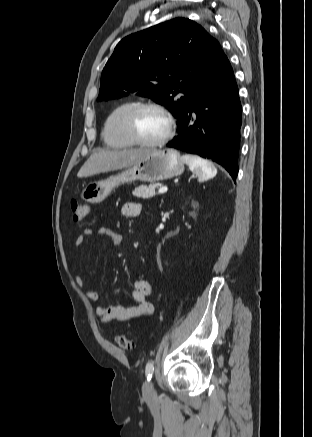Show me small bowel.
Masks as SVG:
<instances>
[{
	"mask_svg": "<svg viewBox=\"0 0 312 437\" xmlns=\"http://www.w3.org/2000/svg\"><path fill=\"white\" fill-rule=\"evenodd\" d=\"M121 212L125 217H136L141 212V205L138 202H127L122 206ZM92 230L86 229L82 234H80L76 241V247H81L85 242V237L90 236ZM99 236L108 237L111 243L115 247H119L123 243V237L121 234L115 232L108 227H100L97 231ZM76 283L79 286L83 285V280L81 277H76ZM152 295V290L150 284L143 279H139L134 283V290L132 292V297L135 302L134 305H116V306H106L98 303L95 307V313L103 323H108L111 321H127L130 319L138 318L141 316H147L153 313L154 307L148 301V298ZM87 297L92 302H99L100 294L94 290L87 291Z\"/></svg>",
	"mask_w": 312,
	"mask_h": 437,
	"instance_id": "small-bowel-1",
	"label": "small bowel"
}]
</instances>
